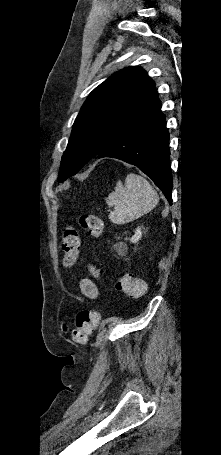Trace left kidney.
I'll use <instances>...</instances> for the list:
<instances>
[{
	"mask_svg": "<svg viewBox=\"0 0 221 455\" xmlns=\"http://www.w3.org/2000/svg\"><path fill=\"white\" fill-rule=\"evenodd\" d=\"M142 237V231H141V228L138 227L136 230H135V233L134 235L130 238V241L132 243H137Z\"/></svg>",
	"mask_w": 221,
	"mask_h": 455,
	"instance_id": "5707ae66",
	"label": "left kidney"
}]
</instances>
